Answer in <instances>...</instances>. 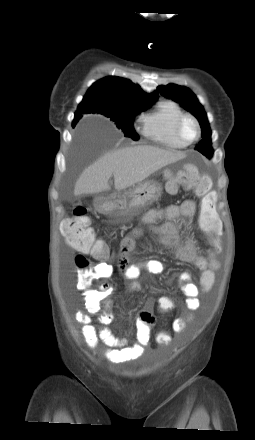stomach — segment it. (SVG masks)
I'll return each mask as SVG.
<instances>
[{"mask_svg": "<svg viewBox=\"0 0 255 440\" xmlns=\"http://www.w3.org/2000/svg\"><path fill=\"white\" fill-rule=\"evenodd\" d=\"M161 193L162 187L159 183L145 181L109 198H98L95 206L99 212L111 215L116 222L125 223L157 201Z\"/></svg>", "mask_w": 255, "mask_h": 440, "instance_id": "1", "label": "stomach"}]
</instances>
